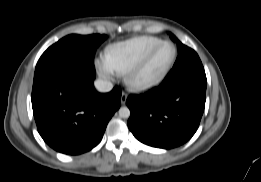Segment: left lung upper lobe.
Masks as SVG:
<instances>
[{"instance_id": "obj_1", "label": "left lung upper lobe", "mask_w": 261, "mask_h": 182, "mask_svg": "<svg viewBox=\"0 0 261 182\" xmlns=\"http://www.w3.org/2000/svg\"><path fill=\"white\" fill-rule=\"evenodd\" d=\"M170 37L177 43L179 55L172 70L166 76L164 81H169L186 74L204 71L197 53L193 49L183 45L172 33H170Z\"/></svg>"}]
</instances>
